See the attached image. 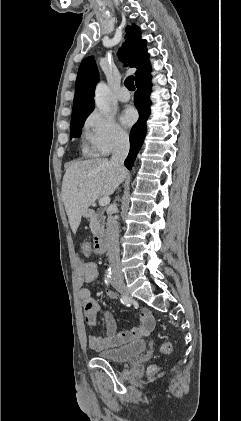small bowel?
I'll return each instance as SVG.
<instances>
[{
    "label": "small bowel",
    "mask_w": 241,
    "mask_h": 421,
    "mask_svg": "<svg viewBox=\"0 0 241 421\" xmlns=\"http://www.w3.org/2000/svg\"><path fill=\"white\" fill-rule=\"evenodd\" d=\"M78 285L80 286V299L85 323L89 327L96 325L97 313L103 316L106 334L103 337L89 335V347L96 351H103L125 344L131 340L146 336L152 332L155 327V320L152 313L142 308L139 312L140 324L129 331L116 332V324L113 315L103 309L95 300L91 291L86 287L87 284L97 281L99 272L97 264L85 261L81 258L77 260ZM110 298H115L113 291H107Z\"/></svg>",
    "instance_id": "1"
}]
</instances>
